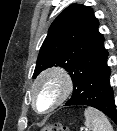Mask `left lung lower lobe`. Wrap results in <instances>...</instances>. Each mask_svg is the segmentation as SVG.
Returning <instances> with one entry per match:
<instances>
[{
    "label": "left lung lower lobe",
    "instance_id": "obj_1",
    "mask_svg": "<svg viewBox=\"0 0 117 131\" xmlns=\"http://www.w3.org/2000/svg\"><path fill=\"white\" fill-rule=\"evenodd\" d=\"M106 56L92 69L87 80L73 90V95L66 106L88 105L94 107L117 124V110L114 103L113 90L110 86V67L107 65Z\"/></svg>",
    "mask_w": 117,
    "mask_h": 131
}]
</instances>
